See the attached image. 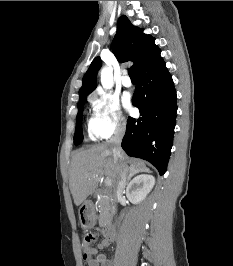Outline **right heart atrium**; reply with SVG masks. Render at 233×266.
I'll list each match as a JSON object with an SVG mask.
<instances>
[{
    "label": "right heart atrium",
    "instance_id": "right-heart-atrium-1",
    "mask_svg": "<svg viewBox=\"0 0 233 266\" xmlns=\"http://www.w3.org/2000/svg\"><path fill=\"white\" fill-rule=\"evenodd\" d=\"M89 131L94 138H109L125 129L126 120L117 96L98 91L92 98Z\"/></svg>",
    "mask_w": 233,
    "mask_h": 266
}]
</instances>
